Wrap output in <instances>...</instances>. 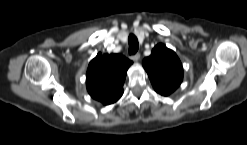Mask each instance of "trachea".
<instances>
[{"label": "trachea", "instance_id": "trachea-1", "mask_svg": "<svg viewBox=\"0 0 247 145\" xmlns=\"http://www.w3.org/2000/svg\"><path fill=\"white\" fill-rule=\"evenodd\" d=\"M129 43V55H134L138 51L139 44L136 36L134 34H130L128 37Z\"/></svg>", "mask_w": 247, "mask_h": 145}]
</instances>
